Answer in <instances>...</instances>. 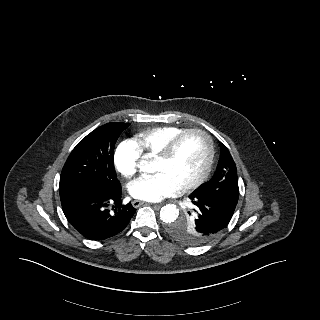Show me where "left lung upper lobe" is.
<instances>
[{"label": "left lung upper lobe", "mask_w": 320, "mask_h": 320, "mask_svg": "<svg viewBox=\"0 0 320 320\" xmlns=\"http://www.w3.org/2000/svg\"><path fill=\"white\" fill-rule=\"evenodd\" d=\"M220 159L215 176L195 191L237 205L239 187L237 169L229 150L221 143ZM199 209L194 205L183 218L168 226V233L177 241L187 245L207 242L200 231Z\"/></svg>", "instance_id": "obj_1"}]
</instances>
